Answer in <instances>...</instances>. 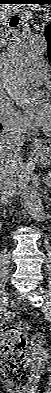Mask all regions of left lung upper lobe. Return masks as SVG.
Segmentation results:
<instances>
[{
	"label": "left lung upper lobe",
	"instance_id": "1",
	"mask_svg": "<svg viewBox=\"0 0 51 393\" xmlns=\"http://www.w3.org/2000/svg\"><path fill=\"white\" fill-rule=\"evenodd\" d=\"M45 38L47 40V55L49 60L51 61V23L49 25H47L46 29H45Z\"/></svg>",
	"mask_w": 51,
	"mask_h": 393
}]
</instances>
